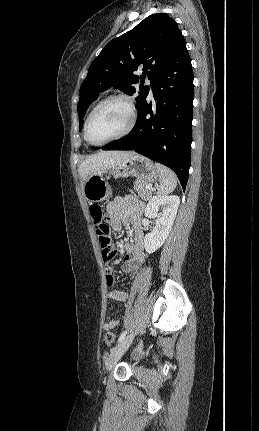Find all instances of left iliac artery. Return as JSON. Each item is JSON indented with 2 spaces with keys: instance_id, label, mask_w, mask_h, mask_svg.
<instances>
[{
  "instance_id": "1",
  "label": "left iliac artery",
  "mask_w": 259,
  "mask_h": 431,
  "mask_svg": "<svg viewBox=\"0 0 259 431\" xmlns=\"http://www.w3.org/2000/svg\"><path fill=\"white\" fill-rule=\"evenodd\" d=\"M126 334H127V331H123L118 338V342L122 341L125 338Z\"/></svg>"
}]
</instances>
